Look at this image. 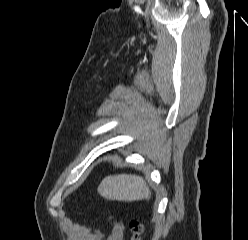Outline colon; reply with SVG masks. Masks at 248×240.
I'll use <instances>...</instances> for the list:
<instances>
[{
    "label": "colon",
    "instance_id": "5ec220e1",
    "mask_svg": "<svg viewBox=\"0 0 248 240\" xmlns=\"http://www.w3.org/2000/svg\"><path fill=\"white\" fill-rule=\"evenodd\" d=\"M131 230L133 232L132 240H140L144 231V226L139 221L135 220L131 223Z\"/></svg>",
    "mask_w": 248,
    "mask_h": 240
}]
</instances>
